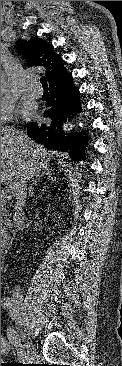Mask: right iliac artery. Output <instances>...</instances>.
Returning <instances> with one entry per match:
<instances>
[{
	"label": "right iliac artery",
	"instance_id": "right-iliac-artery-1",
	"mask_svg": "<svg viewBox=\"0 0 122 366\" xmlns=\"http://www.w3.org/2000/svg\"><path fill=\"white\" fill-rule=\"evenodd\" d=\"M1 305L4 309H9L12 306V304L10 302V299L8 297H5V298L1 299ZM7 333H8L9 341L16 346V344H17V335H16L14 329L8 328ZM17 353H18V355H20L22 357H26V354L24 353V350L22 349V346H21L20 349H18Z\"/></svg>",
	"mask_w": 122,
	"mask_h": 366
}]
</instances>
